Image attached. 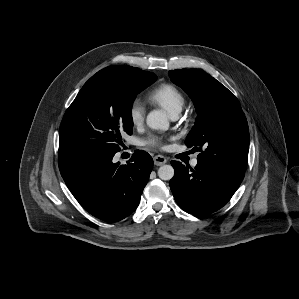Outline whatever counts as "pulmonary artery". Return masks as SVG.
I'll list each match as a JSON object with an SVG mask.
<instances>
[{
    "label": "pulmonary artery",
    "mask_w": 299,
    "mask_h": 299,
    "mask_svg": "<svg viewBox=\"0 0 299 299\" xmlns=\"http://www.w3.org/2000/svg\"><path fill=\"white\" fill-rule=\"evenodd\" d=\"M172 117H173V118H176L177 115H174V116H172ZM197 163H198L197 159H193V160L191 161V165H192L193 167H195V166L197 165Z\"/></svg>",
    "instance_id": "e3ab8cb5"
}]
</instances>
